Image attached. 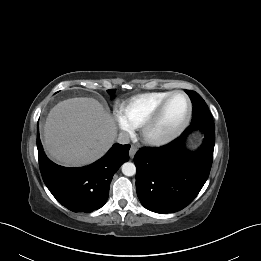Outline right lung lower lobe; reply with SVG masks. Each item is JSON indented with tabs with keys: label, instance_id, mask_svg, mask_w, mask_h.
Wrapping results in <instances>:
<instances>
[{
	"label": "right lung lower lobe",
	"instance_id": "right-lung-lower-lobe-1",
	"mask_svg": "<svg viewBox=\"0 0 261 261\" xmlns=\"http://www.w3.org/2000/svg\"><path fill=\"white\" fill-rule=\"evenodd\" d=\"M37 148L42 178L52 195L73 212L89 213L105 204L113 175L129 159L130 145L114 144L105 156L82 168H66L50 161L43 151L39 129Z\"/></svg>",
	"mask_w": 261,
	"mask_h": 261
}]
</instances>
